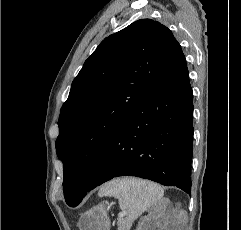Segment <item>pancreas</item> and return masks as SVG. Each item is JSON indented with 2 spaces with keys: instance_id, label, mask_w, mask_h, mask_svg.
Here are the masks:
<instances>
[{
  "instance_id": "cf45deb5",
  "label": "pancreas",
  "mask_w": 241,
  "mask_h": 230,
  "mask_svg": "<svg viewBox=\"0 0 241 230\" xmlns=\"http://www.w3.org/2000/svg\"><path fill=\"white\" fill-rule=\"evenodd\" d=\"M117 225L118 230H129L131 222L128 219H119Z\"/></svg>"
}]
</instances>
